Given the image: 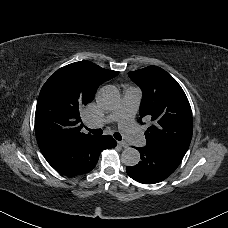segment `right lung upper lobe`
Listing matches in <instances>:
<instances>
[{"label": "right lung upper lobe", "instance_id": "cb5924a9", "mask_svg": "<svg viewBox=\"0 0 228 228\" xmlns=\"http://www.w3.org/2000/svg\"><path fill=\"white\" fill-rule=\"evenodd\" d=\"M119 72L89 61L58 69L43 85L36 106L35 133L44 156L70 143L94 135L81 131L80 111L90 103L103 82Z\"/></svg>", "mask_w": 228, "mask_h": 228}]
</instances>
